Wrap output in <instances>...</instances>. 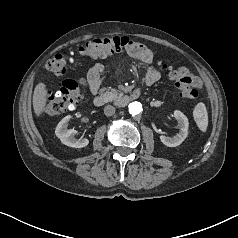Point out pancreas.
Instances as JSON below:
<instances>
[{"instance_id": "1", "label": "pancreas", "mask_w": 238, "mask_h": 238, "mask_svg": "<svg viewBox=\"0 0 238 238\" xmlns=\"http://www.w3.org/2000/svg\"><path fill=\"white\" fill-rule=\"evenodd\" d=\"M100 91L103 93V95L108 101H119L123 96V93L111 87H103Z\"/></svg>"}]
</instances>
